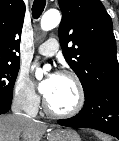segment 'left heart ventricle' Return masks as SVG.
Returning a JSON list of instances; mask_svg holds the SVG:
<instances>
[{"label":"left heart ventricle","instance_id":"b2bd125f","mask_svg":"<svg viewBox=\"0 0 119 141\" xmlns=\"http://www.w3.org/2000/svg\"><path fill=\"white\" fill-rule=\"evenodd\" d=\"M46 100L50 107L56 111L71 110L77 102L75 84L70 78L57 75Z\"/></svg>","mask_w":119,"mask_h":141}]
</instances>
